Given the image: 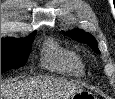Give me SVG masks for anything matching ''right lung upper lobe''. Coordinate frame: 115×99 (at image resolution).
Masks as SVG:
<instances>
[{"label":"right lung upper lobe","mask_w":115,"mask_h":99,"mask_svg":"<svg viewBox=\"0 0 115 99\" xmlns=\"http://www.w3.org/2000/svg\"><path fill=\"white\" fill-rule=\"evenodd\" d=\"M36 32H33L32 34H30V35H33V34H35Z\"/></svg>","instance_id":"right-lung-upper-lobe-1"}]
</instances>
